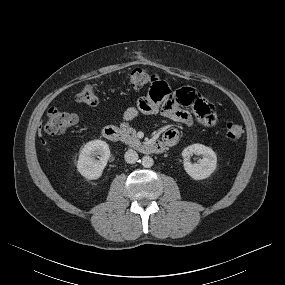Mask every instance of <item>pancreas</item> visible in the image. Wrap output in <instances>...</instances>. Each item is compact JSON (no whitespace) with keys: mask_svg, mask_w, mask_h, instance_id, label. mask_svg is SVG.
Returning a JSON list of instances; mask_svg holds the SVG:
<instances>
[{"mask_svg":"<svg viewBox=\"0 0 285 285\" xmlns=\"http://www.w3.org/2000/svg\"><path fill=\"white\" fill-rule=\"evenodd\" d=\"M124 129H125V130H124V133H125V142H126L127 144H129L130 146H132V147H138V146H140V145H141V142H140V140L137 138L136 132H135L132 128L128 127V126H126V128H124Z\"/></svg>","mask_w":285,"mask_h":285,"instance_id":"1","label":"pancreas"}]
</instances>
